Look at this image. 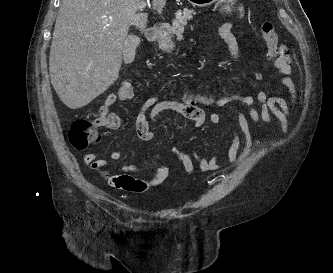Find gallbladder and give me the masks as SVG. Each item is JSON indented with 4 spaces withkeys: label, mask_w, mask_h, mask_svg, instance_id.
Masks as SVG:
<instances>
[{
    "label": "gallbladder",
    "mask_w": 333,
    "mask_h": 273,
    "mask_svg": "<svg viewBox=\"0 0 333 273\" xmlns=\"http://www.w3.org/2000/svg\"><path fill=\"white\" fill-rule=\"evenodd\" d=\"M139 44V39L136 36H129L123 46V59L125 64H130L135 58L136 47Z\"/></svg>",
    "instance_id": "gallbladder-1"
}]
</instances>
